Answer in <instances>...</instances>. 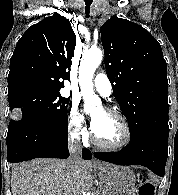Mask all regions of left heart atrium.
<instances>
[{
    "label": "left heart atrium",
    "instance_id": "1",
    "mask_svg": "<svg viewBox=\"0 0 178 195\" xmlns=\"http://www.w3.org/2000/svg\"><path fill=\"white\" fill-rule=\"evenodd\" d=\"M91 127H92V129H93V131L95 130V127H96V123H95V121H91Z\"/></svg>",
    "mask_w": 178,
    "mask_h": 195
}]
</instances>
